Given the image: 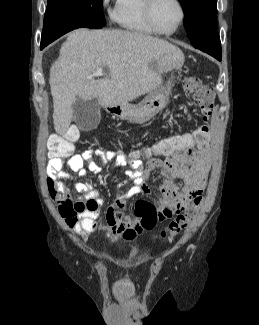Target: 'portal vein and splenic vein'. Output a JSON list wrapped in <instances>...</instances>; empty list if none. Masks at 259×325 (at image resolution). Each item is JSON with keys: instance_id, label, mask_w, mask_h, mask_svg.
I'll use <instances>...</instances> for the list:
<instances>
[{"instance_id": "18ae733b", "label": "portal vein and splenic vein", "mask_w": 259, "mask_h": 325, "mask_svg": "<svg viewBox=\"0 0 259 325\" xmlns=\"http://www.w3.org/2000/svg\"><path fill=\"white\" fill-rule=\"evenodd\" d=\"M93 76H95V77L104 76L103 71H102V68H101V67L98 68V69L94 72Z\"/></svg>"}]
</instances>
